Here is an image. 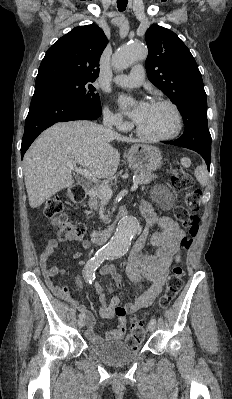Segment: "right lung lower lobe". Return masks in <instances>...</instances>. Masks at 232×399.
Returning a JSON list of instances; mask_svg holds the SVG:
<instances>
[{"instance_id":"98d812e1","label":"right lung lower lobe","mask_w":232,"mask_h":399,"mask_svg":"<svg viewBox=\"0 0 232 399\" xmlns=\"http://www.w3.org/2000/svg\"><path fill=\"white\" fill-rule=\"evenodd\" d=\"M102 111L90 108L65 92L49 87H35L29 113L25 121L21 155L46 128L57 122L72 120H96Z\"/></svg>"}]
</instances>
